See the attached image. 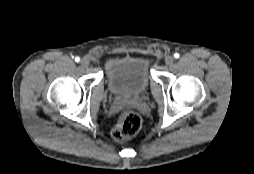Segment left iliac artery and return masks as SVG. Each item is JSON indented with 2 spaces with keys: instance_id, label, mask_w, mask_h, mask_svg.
<instances>
[{
  "instance_id": "obj_1",
  "label": "left iliac artery",
  "mask_w": 254,
  "mask_h": 174,
  "mask_svg": "<svg viewBox=\"0 0 254 174\" xmlns=\"http://www.w3.org/2000/svg\"><path fill=\"white\" fill-rule=\"evenodd\" d=\"M179 56H180V55H179L178 53H175V54H174V57H175V58H179Z\"/></svg>"
}]
</instances>
